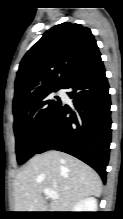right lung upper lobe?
Returning <instances> with one entry per match:
<instances>
[{"label": "right lung upper lobe", "mask_w": 123, "mask_h": 219, "mask_svg": "<svg viewBox=\"0 0 123 219\" xmlns=\"http://www.w3.org/2000/svg\"><path fill=\"white\" fill-rule=\"evenodd\" d=\"M99 57L89 28L70 22L52 27L23 57L15 80L13 104L41 91L63 87Z\"/></svg>", "instance_id": "obj_1"}]
</instances>
